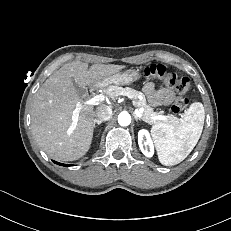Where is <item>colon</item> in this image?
Returning a JSON list of instances; mask_svg holds the SVG:
<instances>
[{"label": "colon", "instance_id": "5ec220e1", "mask_svg": "<svg viewBox=\"0 0 231 231\" xmlns=\"http://www.w3.org/2000/svg\"><path fill=\"white\" fill-rule=\"evenodd\" d=\"M143 75L149 78L162 80L166 85L173 88L179 94L187 92L190 88V80L187 77H180L174 71L169 70L165 65L153 64L145 68ZM188 105L184 97H177L171 107L173 113L182 112Z\"/></svg>", "mask_w": 231, "mask_h": 231}]
</instances>
